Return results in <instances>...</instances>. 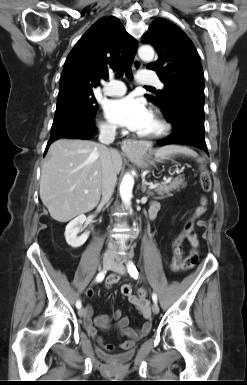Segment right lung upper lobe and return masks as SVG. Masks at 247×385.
<instances>
[{"label":"right lung upper lobe","mask_w":247,"mask_h":385,"mask_svg":"<svg viewBox=\"0 0 247 385\" xmlns=\"http://www.w3.org/2000/svg\"><path fill=\"white\" fill-rule=\"evenodd\" d=\"M137 41L114 16L96 21L69 53L61 75L59 92L93 90L122 63H130Z\"/></svg>","instance_id":"cb5924a9"}]
</instances>
